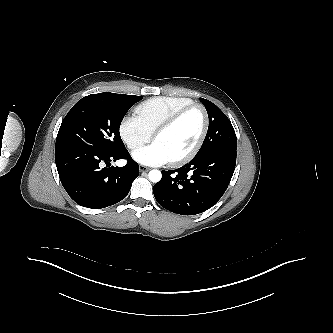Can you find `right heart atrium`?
<instances>
[{
    "instance_id": "d8ad5b80",
    "label": "right heart atrium",
    "mask_w": 333,
    "mask_h": 333,
    "mask_svg": "<svg viewBox=\"0 0 333 333\" xmlns=\"http://www.w3.org/2000/svg\"><path fill=\"white\" fill-rule=\"evenodd\" d=\"M119 134L130 150H135L149 142L152 133L136 115L125 116L119 124Z\"/></svg>"
}]
</instances>
